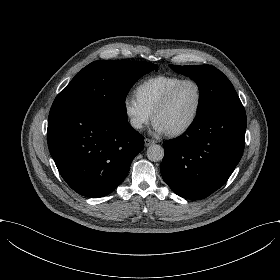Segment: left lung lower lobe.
<instances>
[{
    "label": "left lung lower lobe",
    "instance_id": "0a47b994",
    "mask_svg": "<svg viewBox=\"0 0 280 280\" xmlns=\"http://www.w3.org/2000/svg\"><path fill=\"white\" fill-rule=\"evenodd\" d=\"M246 123L241 101L196 116L183 135L164 142L163 180L186 199L200 200L212 194L242 157Z\"/></svg>",
    "mask_w": 280,
    "mask_h": 280
}]
</instances>
